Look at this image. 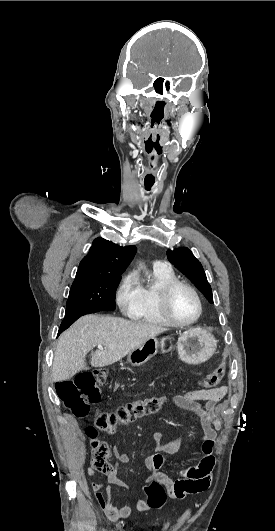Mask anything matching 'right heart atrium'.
<instances>
[{
	"mask_svg": "<svg viewBox=\"0 0 275 531\" xmlns=\"http://www.w3.org/2000/svg\"><path fill=\"white\" fill-rule=\"evenodd\" d=\"M141 285L133 273H128L121 279L116 292L118 305L122 313L132 317L140 305Z\"/></svg>",
	"mask_w": 275,
	"mask_h": 531,
	"instance_id": "obj_1",
	"label": "right heart atrium"
}]
</instances>
